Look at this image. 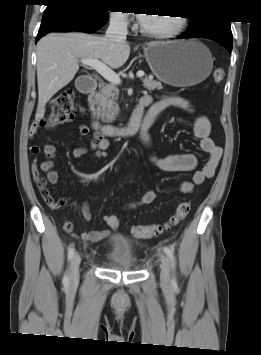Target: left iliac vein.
<instances>
[{
	"mask_svg": "<svg viewBox=\"0 0 261 355\" xmlns=\"http://www.w3.org/2000/svg\"><path fill=\"white\" fill-rule=\"evenodd\" d=\"M171 279V269H170V261L167 256L163 255L161 259V273L160 280L161 284L164 286H168Z\"/></svg>",
	"mask_w": 261,
	"mask_h": 355,
	"instance_id": "left-iliac-vein-1",
	"label": "left iliac vein"
}]
</instances>
